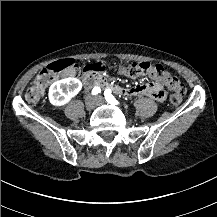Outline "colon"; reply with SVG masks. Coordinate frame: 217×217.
I'll use <instances>...</instances> for the list:
<instances>
[{
  "instance_id": "1",
  "label": "colon",
  "mask_w": 217,
  "mask_h": 217,
  "mask_svg": "<svg viewBox=\"0 0 217 217\" xmlns=\"http://www.w3.org/2000/svg\"><path fill=\"white\" fill-rule=\"evenodd\" d=\"M81 70V63L77 57H67L53 61L39 73L37 79L29 86L25 93V99L29 103H36L39 101L52 79L58 76L69 73H78ZM127 72L132 78H147L159 81L164 84L168 89H176L177 94L185 95L188 92L187 85L165 68L161 66H152L148 62H134L127 66ZM145 88V87H144ZM182 96L170 95V102L172 104H179L182 101Z\"/></svg>"
}]
</instances>
